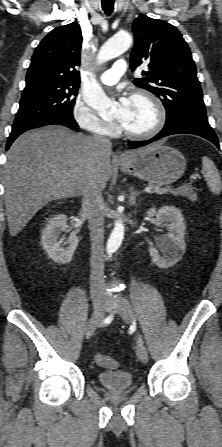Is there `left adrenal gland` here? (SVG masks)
<instances>
[{
    "label": "left adrenal gland",
    "instance_id": "left-adrenal-gland-1",
    "mask_svg": "<svg viewBox=\"0 0 222 447\" xmlns=\"http://www.w3.org/2000/svg\"><path fill=\"white\" fill-rule=\"evenodd\" d=\"M141 194V192H138L134 189V187L130 188V196H129V204L131 206H134L136 204V198Z\"/></svg>",
    "mask_w": 222,
    "mask_h": 447
}]
</instances>
